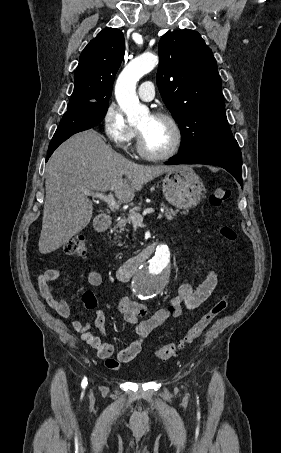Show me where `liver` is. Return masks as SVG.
<instances>
[{
	"label": "liver",
	"instance_id": "obj_1",
	"mask_svg": "<svg viewBox=\"0 0 281 453\" xmlns=\"http://www.w3.org/2000/svg\"><path fill=\"white\" fill-rule=\"evenodd\" d=\"M185 166L136 164L106 144L93 128L73 134L56 148L46 164L40 253L56 251L87 227L93 202L84 190H112L118 200L130 202L149 180Z\"/></svg>",
	"mask_w": 281,
	"mask_h": 453
}]
</instances>
